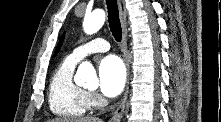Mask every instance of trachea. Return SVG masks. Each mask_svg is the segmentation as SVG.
<instances>
[{
  "mask_svg": "<svg viewBox=\"0 0 221 122\" xmlns=\"http://www.w3.org/2000/svg\"><path fill=\"white\" fill-rule=\"evenodd\" d=\"M108 9V23L113 37L117 42H121L122 28L119 19V11L116 0H106Z\"/></svg>",
  "mask_w": 221,
  "mask_h": 122,
  "instance_id": "1",
  "label": "trachea"
}]
</instances>
